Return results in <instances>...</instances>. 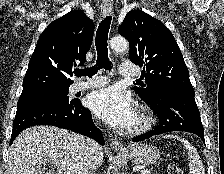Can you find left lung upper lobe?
<instances>
[{
  "label": "left lung upper lobe",
  "instance_id": "5c2ea615",
  "mask_svg": "<svg viewBox=\"0 0 224 174\" xmlns=\"http://www.w3.org/2000/svg\"><path fill=\"white\" fill-rule=\"evenodd\" d=\"M118 31L130 44V60L143 67L145 84L134 87L142 100L150 102L163 90L194 91L177 42L161 21L132 10Z\"/></svg>",
  "mask_w": 224,
  "mask_h": 174
}]
</instances>
